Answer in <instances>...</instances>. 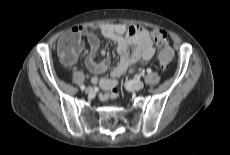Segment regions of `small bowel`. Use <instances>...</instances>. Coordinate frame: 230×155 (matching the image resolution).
<instances>
[{
  "mask_svg": "<svg viewBox=\"0 0 230 155\" xmlns=\"http://www.w3.org/2000/svg\"><path fill=\"white\" fill-rule=\"evenodd\" d=\"M98 32L117 45V51L120 55V61L112 71L111 78H93L94 83H98L108 91L117 85L118 79L132 66L149 61L155 54L156 49L153 46L152 32H149L142 25H132L128 29L122 24H108L91 29L82 26L74 27L61 37L60 42L69 35H76L80 39V44L76 49V52H79L83 47L81 38L86 36L90 49L86 65L94 74L102 73L109 67L107 58L100 62L94 60V54L99 47ZM130 46L133 47L131 51L129 50ZM102 55L106 57L105 52H102Z\"/></svg>",
  "mask_w": 230,
  "mask_h": 155,
  "instance_id": "obj_1",
  "label": "small bowel"
}]
</instances>
